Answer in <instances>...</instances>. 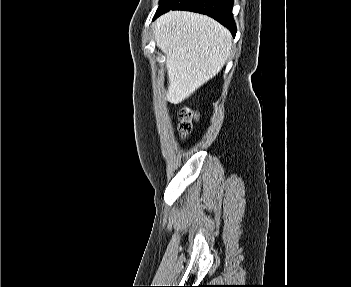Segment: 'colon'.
I'll return each instance as SVG.
<instances>
[{"instance_id": "5ec220e1", "label": "colon", "mask_w": 351, "mask_h": 287, "mask_svg": "<svg viewBox=\"0 0 351 287\" xmlns=\"http://www.w3.org/2000/svg\"><path fill=\"white\" fill-rule=\"evenodd\" d=\"M180 130L187 135L193 130V123L197 119V114L189 107H183L179 112Z\"/></svg>"}]
</instances>
